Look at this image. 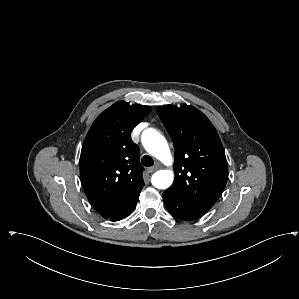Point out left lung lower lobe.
Segmentation results:
<instances>
[{
  "label": "left lung lower lobe",
  "instance_id": "0a47b994",
  "mask_svg": "<svg viewBox=\"0 0 299 299\" xmlns=\"http://www.w3.org/2000/svg\"><path fill=\"white\" fill-rule=\"evenodd\" d=\"M163 200L168 212L181 220L191 221L200 218L207 212L188 203L170 190L163 193Z\"/></svg>",
  "mask_w": 299,
  "mask_h": 299
}]
</instances>
